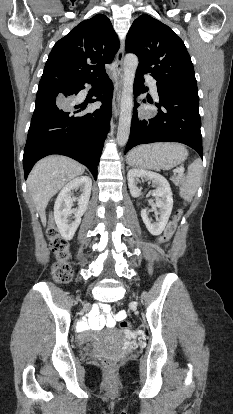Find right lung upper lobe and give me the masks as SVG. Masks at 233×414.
Listing matches in <instances>:
<instances>
[{"mask_svg": "<svg viewBox=\"0 0 233 414\" xmlns=\"http://www.w3.org/2000/svg\"><path fill=\"white\" fill-rule=\"evenodd\" d=\"M119 49L118 36L110 20L102 14L84 20L60 39L45 64L41 80L83 82L106 75Z\"/></svg>", "mask_w": 233, "mask_h": 414, "instance_id": "obj_1", "label": "right lung upper lobe"}]
</instances>
